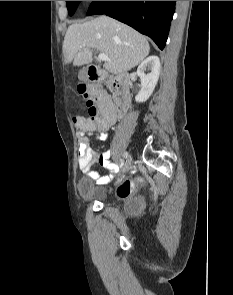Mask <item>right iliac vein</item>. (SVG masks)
Masks as SVG:
<instances>
[{
    "label": "right iliac vein",
    "instance_id": "right-iliac-vein-1",
    "mask_svg": "<svg viewBox=\"0 0 233 295\" xmlns=\"http://www.w3.org/2000/svg\"><path fill=\"white\" fill-rule=\"evenodd\" d=\"M131 164H132V157L129 156V157L126 159V161H125V164H124V167H123L122 172H123V173H126V172L130 169Z\"/></svg>",
    "mask_w": 233,
    "mask_h": 295
}]
</instances>
